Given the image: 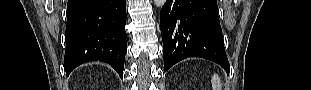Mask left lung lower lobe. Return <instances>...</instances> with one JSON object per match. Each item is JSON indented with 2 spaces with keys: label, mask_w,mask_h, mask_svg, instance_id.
Returning <instances> with one entry per match:
<instances>
[{
  "label": "left lung lower lobe",
  "mask_w": 311,
  "mask_h": 90,
  "mask_svg": "<svg viewBox=\"0 0 311 90\" xmlns=\"http://www.w3.org/2000/svg\"><path fill=\"white\" fill-rule=\"evenodd\" d=\"M160 28L164 72L185 58L201 57L229 73L216 0H167Z\"/></svg>",
  "instance_id": "left-lung-lower-lobe-1"
}]
</instances>
